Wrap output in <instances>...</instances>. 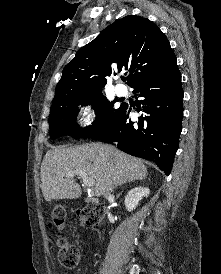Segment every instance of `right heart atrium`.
<instances>
[{"mask_svg":"<svg viewBox=\"0 0 221 274\" xmlns=\"http://www.w3.org/2000/svg\"><path fill=\"white\" fill-rule=\"evenodd\" d=\"M97 110L93 104L85 103L79 105V116L77 125L80 128H87L91 126L96 118Z\"/></svg>","mask_w":221,"mask_h":274,"instance_id":"1","label":"right heart atrium"}]
</instances>
